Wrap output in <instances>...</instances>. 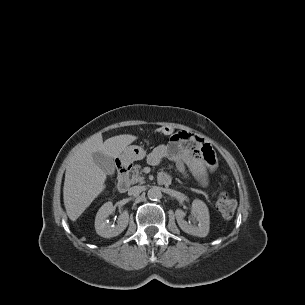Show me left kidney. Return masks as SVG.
Segmentation results:
<instances>
[{
	"instance_id": "obj_1",
	"label": "left kidney",
	"mask_w": 305,
	"mask_h": 305,
	"mask_svg": "<svg viewBox=\"0 0 305 305\" xmlns=\"http://www.w3.org/2000/svg\"><path fill=\"white\" fill-rule=\"evenodd\" d=\"M191 213L198 222V226L188 224L187 221L184 220L186 215L185 212L182 209H177L175 211V216L179 227L190 235L206 237L209 233L210 225V216L207 205L203 201L195 199L192 202Z\"/></svg>"
}]
</instances>
